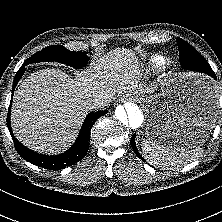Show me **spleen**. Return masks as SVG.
<instances>
[{
  "label": "spleen",
  "mask_w": 222,
  "mask_h": 222,
  "mask_svg": "<svg viewBox=\"0 0 222 222\" xmlns=\"http://www.w3.org/2000/svg\"><path fill=\"white\" fill-rule=\"evenodd\" d=\"M141 148L144 158L151 165L156 167H181L195 160L202 153L200 146L188 149L173 148L159 144L150 139H143Z\"/></svg>",
  "instance_id": "3e777b00"
}]
</instances>
